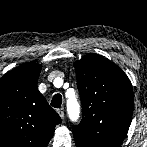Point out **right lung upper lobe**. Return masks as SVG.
<instances>
[{"mask_svg": "<svg viewBox=\"0 0 147 147\" xmlns=\"http://www.w3.org/2000/svg\"><path fill=\"white\" fill-rule=\"evenodd\" d=\"M41 68L25 63L0 79V147H47L61 122L37 88Z\"/></svg>", "mask_w": 147, "mask_h": 147, "instance_id": "right-lung-upper-lobe-1", "label": "right lung upper lobe"}]
</instances>
